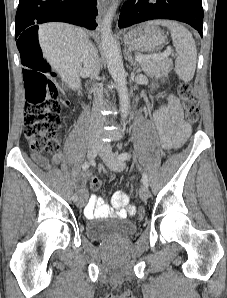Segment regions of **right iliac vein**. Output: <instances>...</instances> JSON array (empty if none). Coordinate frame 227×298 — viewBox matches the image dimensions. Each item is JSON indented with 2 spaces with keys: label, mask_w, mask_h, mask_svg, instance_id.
Listing matches in <instances>:
<instances>
[{
  "label": "right iliac vein",
  "mask_w": 227,
  "mask_h": 298,
  "mask_svg": "<svg viewBox=\"0 0 227 298\" xmlns=\"http://www.w3.org/2000/svg\"><path fill=\"white\" fill-rule=\"evenodd\" d=\"M101 146L98 142H90L88 144V150H87V156L89 159H94L96 157V155L98 154V152L100 151ZM85 198L84 197H80L79 200L77 201V206L79 208L83 207L85 204Z\"/></svg>",
  "instance_id": "right-iliac-vein-1"
}]
</instances>
